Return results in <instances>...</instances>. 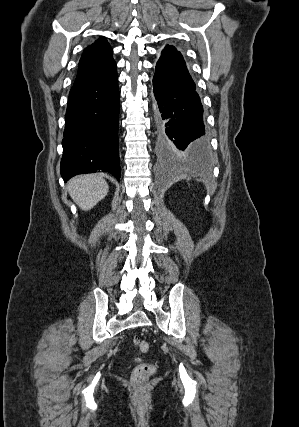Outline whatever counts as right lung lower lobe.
<instances>
[{
  "mask_svg": "<svg viewBox=\"0 0 299 427\" xmlns=\"http://www.w3.org/2000/svg\"><path fill=\"white\" fill-rule=\"evenodd\" d=\"M119 91L116 70L103 79L74 85L62 141L61 176L109 172L120 180Z\"/></svg>",
  "mask_w": 299,
  "mask_h": 427,
  "instance_id": "98d812e1",
  "label": "right lung lower lobe"
}]
</instances>
